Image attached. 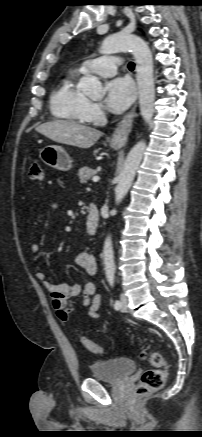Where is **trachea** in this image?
<instances>
[{
  "label": "trachea",
  "mask_w": 202,
  "mask_h": 437,
  "mask_svg": "<svg viewBox=\"0 0 202 437\" xmlns=\"http://www.w3.org/2000/svg\"><path fill=\"white\" fill-rule=\"evenodd\" d=\"M134 67H135V64L133 63V62H130L129 64H128V68L129 69H134Z\"/></svg>",
  "instance_id": "3493384b"
}]
</instances>
